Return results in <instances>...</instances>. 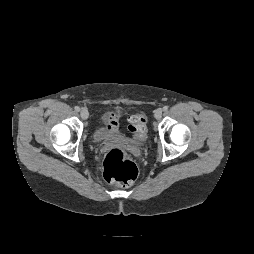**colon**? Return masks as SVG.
I'll list each match as a JSON object with an SVG mask.
<instances>
[{"label": "colon", "instance_id": "colon-1", "mask_svg": "<svg viewBox=\"0 0 254 254\" xmlns=\"http://www.w3.org/2000/svg\"><path fill=\"white\" fill-rule=\"evenodd\" d=\"M129 130L135 137L143 138L146 133L144 115H133ZM103 176L108 182L128 186L137 179L138 169L123 149L112 148L105 154L103 159Z\"/></svg>", "mask_w": 254, "mask_h": 254}]
</instances>
